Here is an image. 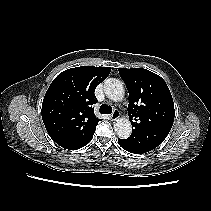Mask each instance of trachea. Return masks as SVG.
<instances>
[{"label":"trachea","instance_id":"obj_1","mask_svg":"<svg viewBox=\"0 0 211 211\" xmlns=\"http://www.w3.org/2000/svg\"><path fill=\"white\" fill-rule=\"evenodd\" d=\"M100 112H101V114H111L112 108L106 104H102L100 106Z\"/></svg>","mask_w":211,"mask_h":211}]
</instances>
